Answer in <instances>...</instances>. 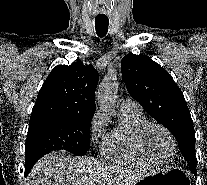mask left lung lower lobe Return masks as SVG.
Masks as SVG:
<instances>
[{
	"mask_svg": "<svg viewBox=\"0 0 207 185\" xmlns=\"http://www.w3.org/2000/svg\"><path fill=\"white\" fill-rule=\"evenodd\" d=\"M192 172H193L194 174H196V168H195V169H193V170H192Z\"/></svg>",
	"mask_w": 207,
	"mask_h": 185,
	"instance_id": "1",
	"label": "left lung lower lobe"
}]
</instances>
